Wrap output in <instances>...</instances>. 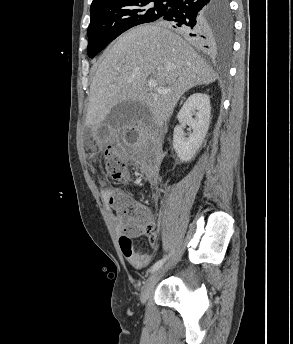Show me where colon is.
<instances>
[{
    "instance_id": "1",
    "label": "colon",
    "mask_w": 293,
    "mask_h": 344,
    "mask_svg": "<svg viewBox=\"0 0 293 344\" xmlns=\"http://www.w3.org/2000/svg\"><path fill=\"white\" fill-rule=\"evenodd\" d=\"M128 137L130 140H135L136 134L133 131L129 132ZM103 162L106 171L114 179L126 180L129 178L130 171L127 163L117 152L111 149L105 150ZM109 203L125 231L133 235H152L153 224L147 209L134 202L125 191H115L110 196Z\"/></svg>"
}]
</instances>
